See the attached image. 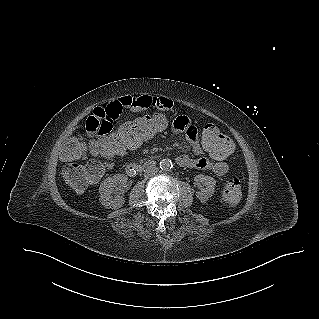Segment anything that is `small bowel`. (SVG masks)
<instances>
[{
    "instance_id": "c3829d8e",
    "label": "small bowel",
    "mask_w": 319,
    "mask_h": 319,
    "mask_svg": "<svg viewBox=\"0 0 319 319\" xmlns=\"http://www.w3.org/2000/svg\"><path fill=\"white\" fill-rule=\"evenodd\" d=\"M172 106V101L165 97L143 96L104 99L103 104L97 106L92 112V115L84 121L85 131L88 136L99 138L111 130L113 120L120 118L127 108L134 110L148 108L168 110L172 108ZM170 129L175 130L176 135L187 136L193 154L196 156V158H191L185 154L178 155L177 162L181 166L200 170H211L219 176H223L228 172L226 163L219 160L214 162L203 156L207 151L199 142L197 122L192 121L191 115H173L172 121L170 122ZM70 139H68V141ZM87 150L84 152V155L88 154Z\"/></svg>"
}]
</instances>
